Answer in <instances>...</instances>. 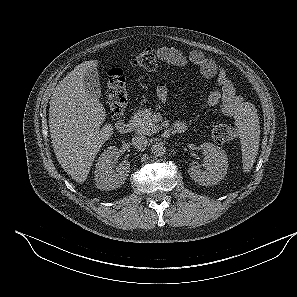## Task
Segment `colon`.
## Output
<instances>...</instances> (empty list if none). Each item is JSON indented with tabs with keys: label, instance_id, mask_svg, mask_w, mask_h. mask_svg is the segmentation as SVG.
Returning <instances> with one entry per match:
<instances>
[{
	"label": "colon",
	"instance_id": "colon-1",
	"mask_svg": "<svg viewBox=\"0 0 297 297\" xmlns=\"http://www.w3.org/2000/svg\"><path fill=\"white\" fill-rule=\"evenodd\" d=\"M130 62L132 66L145 71H154L158 67L157 55L152 49H144L133 54ZM107 99L113 120L119 122L123 117L128 103L126 78L120 68H112L108 73ZM211 134L219 143H229L237 136L235 126L225 122L213 123Z\"/></svg>",
	"mask_w": 297,
	"mask_h": 297
}]
</instances>
